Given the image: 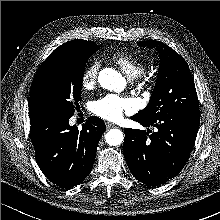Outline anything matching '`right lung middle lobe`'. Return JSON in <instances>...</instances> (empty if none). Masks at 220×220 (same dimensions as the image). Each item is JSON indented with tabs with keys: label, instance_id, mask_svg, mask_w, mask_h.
I'll list each match as a JSON object with an SVG mask.
<instances>
[{
	"label": "right lung middle lobe",
	"instance_id": "obj_1",
	"mask_svg": "<svg viewBox=\"0 0 220 220\" xmlns=\"http://www.w3.org/2000/svg\"><path fill=\"white\" fill-rule=\"evenodd\" d=\"M97 50L95 44H81L49 56L32 82L29 112L73 115L82 100L85 64Z\"/></svg>",
	"mask_w": 220,
	"mask_h": 220
}]
</instances>
